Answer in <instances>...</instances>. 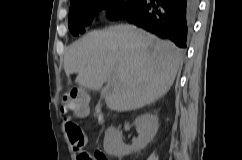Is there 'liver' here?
<instances>
[{
    "mask_svg": "<svg viewBox=\"0 0 242 160\" xmlns=\"http://www.w3.org/2000/svg\"><path fill=\"white\" fill-rule=\"evenodd\" d=\"M182 51L133 25H116L91 31L74 42L64 56L67 76L77 73L75 82L99 90L114 79L105 92L109 109L123 112L142 108L163 97L182 66Z\"/></svg>",
    "mask_w": 242,
    "mask_h": 160,
    "instance_id": "1",
    "label": "liver"
}]
</instances>
